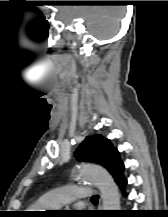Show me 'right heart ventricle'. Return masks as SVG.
Masks as SVG:
<instances>
[{"label":"right heart ventricle","instance_id":"right-heart-ventricle-1","mask_svg":"<svg viewBox=\"0 0 168 217\" xmlns=\"http://www.w3.org/2000/svg\"><path fill=\"white\" fill-rule=\"evenodd\" d=\"M47 209L48 207L40 199L28 207V210L31 214L35 212L45 211Z\"/></svg>","mask_w":168,"mask_h":217}]
</instances>
